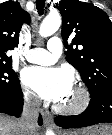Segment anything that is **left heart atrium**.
Returning <instances> with one entry per match:
<instances>
[{"label":"left heart atrium","instance_id":"39dd6f15","mask_svg":"<svg viewBox=\"0 0 112 135\" xmlns=\"http://www.w3.org/2000/svg\"><path fill=\"white\" fill-rule=\"evenodd\" d=\"M23 82L41 98L54 102L63 101L72 90L71 74L54 67H29L22 75Z\"/></svg>","mask_w":112,"mask_h":135}]
</instances>
